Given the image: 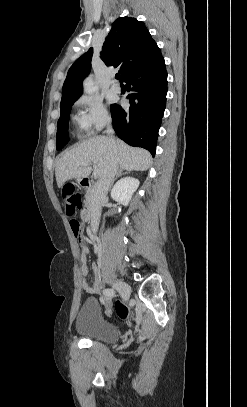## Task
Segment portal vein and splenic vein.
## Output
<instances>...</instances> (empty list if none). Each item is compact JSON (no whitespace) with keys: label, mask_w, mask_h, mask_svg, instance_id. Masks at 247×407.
Wrapping results in <instances>:
<instances>
[{"label":"portal vein and splenic vein","mask_w":247,"mask_h":407,"mask_svg":"<svg viewBox=\"0 0 247 407\" xmlns=\"http://www.w3.org/2000/svg\"><path fill=\"white\" fill-rule=\"evenodd\" d=\"M90 163H88V162H84V163H81L80 165H82V166H87V165H89ZM93 168H94V171H93V176L94 177H97V176H99V173H100V171H99V169L97 168V166L93 163Z\"/></svg>","instance_id":"portal-vein-and-splenic-vein-1"}]
</instances>
